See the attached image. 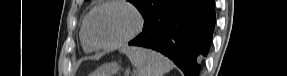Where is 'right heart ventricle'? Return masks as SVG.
Returning <instances> with one entry per match:
<instances>
[{
  "mask_svg": "<svg viewBox=\"0 0 287 76\" xmlns=\"http://www.w3.org/2000/svg\"><path fill=\"white\" fill-rule=\"evenodd\" d=\"M80 36H81V42H82L83 49L86 52H92L94 50V48L91 46V44L88 42V40H87V38L85 36L84 25L82 26Z\"/></svg>",
  "mask_w": 287,
  "mask_h": 76,
  "instance_id": "e07e8e85",
  "label": "right heart ventricle"
}]
</instances>
